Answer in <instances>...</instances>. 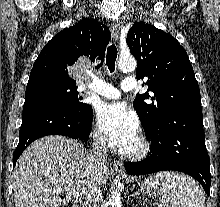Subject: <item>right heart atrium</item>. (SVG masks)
<instances>
[{
    "label": "right heart atrium",
    "instance_id": "right-heart-atrium-1",
    "mask_svg": "<svg viewBox=\"0 0 220 207\" xmlns=\"http://www.w3.org/2000/svg\"><path fill=\"white\" fill-rule=\"evenodd\" d=\"M92 134L97 144L103 145V146L107 144V139L105 135L97 127L93 129Z\"/></svg>",
    "mask_w": 220,
    "mask_h": 207
}]
</instances>
